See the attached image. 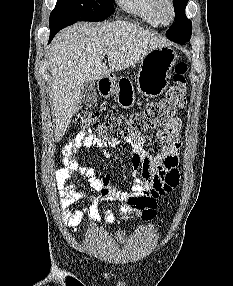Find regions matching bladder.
<instances>
[{"mask_svg": "<svg viewBox=\"0 0 233 286\" xmlns=\"http://www.w3.org/2000/svg\"><path fill=\"white\" fill-rule=\"evenodd\" d=\"M115 238L116 240L118 241H123L124 238H125V234L123 231H118L116 234H115Z\"/></svg>", "mask_w": 233, "mask_h": 286, "instance_id": "1", "label": "bladder"}]
</instances>
